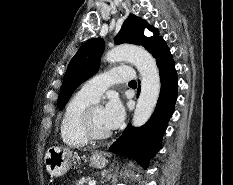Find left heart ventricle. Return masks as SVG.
Segmentation results:
<instances>
[{
    "label": "left heart ventricle",
    "mask_w": 233,
    "mask_h": 185,
    "mask_svg": "<svg viewBox=\"0 0 233 185\" xmlns=\"http://www.w3.org/2000/svg\"><path fill=\"white\" fill-rule=\"evenodd\" d=\"M91 122L93 129L99 134L107 133L110 131L105 124L102 107H97L94 109L91 116Z\"/></svg>",
    "instance_id": "left-heart-ventricle-1"
}]
</instances>
